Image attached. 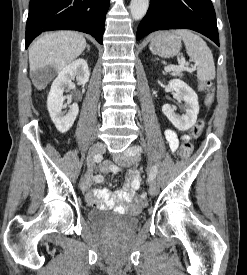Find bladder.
Segmentation results:
<instances>
[{"label": "bladder", "mask_w": 247, "mask_h": 275, "mask_svg": "<svg viewBox=\"0 0 247 275\" xmlns=\"http://www.w3.org/2000/svg\"><path fill=\"white\" fill-rule=\"evenodd\" d=\"M112 212L106 209L90 210L88 212V221L92 225L107 226L118 225L123 228H131L137 225L138 218L136 212L125 213L121 219L110 217Z\"/></svg>", "instance_id": "obj_1"}]
</instances>
